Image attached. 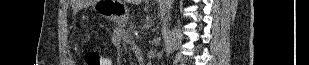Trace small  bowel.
I'll return each mask as SVG.
<instances>
[{
    "label": "small bowel",
    "mask_w": 309,
    "mask_h": 65,
    "mask_svg": "<svg viewBox=\"0 0 309 65\" xmlns=\"http://www.w3.org/2000/svg\"><path fill=\"white\" fill-rule=\"evenodd\" d=\"M127 39L125 33H121L120 36H118L116 38V43L119 45L121 44V42L125 41ZM135 50L138 49V48H134ZM104 64L103 65H114V62L108 58V57H104Z\"/></svg>",
    "instance_id": "obj_1"
}]
</instances>
